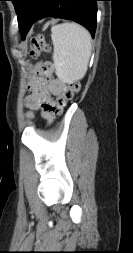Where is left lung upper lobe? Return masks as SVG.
Returning a JSON list of instances; mask_svg holds the SVG:
<instances>
[{"mask_svg":"<svg viewBox=\"0 0 133 253\" xmlns=\"http://www.w3.org/2000/svg\"><path fill=\"white\" fill-rule=\"evenodd\" d=\"M10 1L13 2L14 6H15V10H16V12L18 14V12H19V10H20V8H21L22 3L24 2V0H10Z\"/></svg>","mask_w":133,"mask_h":253,"instance_id":"left-lung-upper-lobe-1","label":"left lung upper lobe"}]
</instances>
